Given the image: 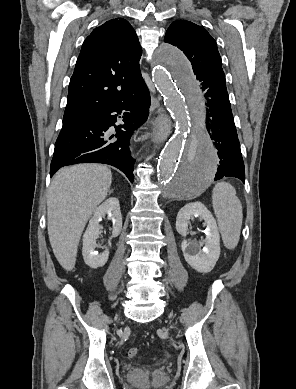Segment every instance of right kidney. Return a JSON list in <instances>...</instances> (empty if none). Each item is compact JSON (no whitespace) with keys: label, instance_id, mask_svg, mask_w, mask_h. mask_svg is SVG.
Returning <instances> with one entry per match:
<instances>
[{"label":"right kidney","instance_id":"right-kidney-1","mask_svg":"<svg viewBox=\"0 0 296 389\" xmlns=\"http://www.w3.org/2000/svg\"><path fill=\"white\" fill-rule=\"evenodd\" d=\"M106 215H108V217L111 218L113 222L112 237L118 236L122 229V215L120 211L119 200L117 198H108L94 210L93 216L90 219L88 227L83 236V259L85 263L93 269L104 266L109 258L108 249L100 254L95 251L98 247L96 239L100 235L99 223L102 221V218H105Z\"/></svg>","mask_w":296,"mask_h":389}]
</instances>
